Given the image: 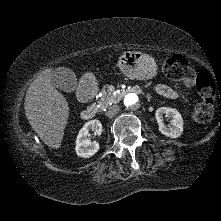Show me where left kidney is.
Returning a JSON list of instances; mask_svg holds the SVG:
<instances>
[{
  "mask_svg": "<svg viewBox=\"0 0 221 221\" xmlns=\"http://www.w3.org/2000/svg\"><path fill=\"white\" fill-rule=\"evenodd\" d=\"M170 116L171 126L167 127L163 124V116ZM156 120L158 122L159 131L170 138H177L183 132V118L181 114L173 108L161 107L156 110L155 113Z\"/></svg>",
  "mask_w": 221,
  "mask_h": 221,
  "instance_id": "obj_1",
  "label": "left kidney"
}]
</instances>
